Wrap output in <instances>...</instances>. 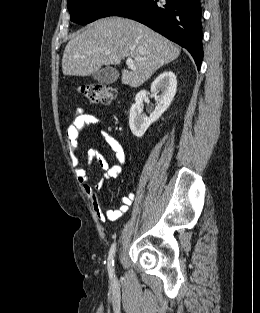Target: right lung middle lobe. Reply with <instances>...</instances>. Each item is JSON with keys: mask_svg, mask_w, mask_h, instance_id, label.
Segmentation results:
<instances>
[{"mask_svg": "<svg viewBox=\"0 0 260 313\" xmlns=\"http://www.w3.org/2000/svg\"><path fill=\"white\" fill-rule=\"evenodd\" d=\"M121 0H68L71 21L87 24L103 17Z\"/></svg>", "mask_w": 260, "mask_h": 313, "instance_id": "1", "label": "right lung middle lobe"}]
</instances>
